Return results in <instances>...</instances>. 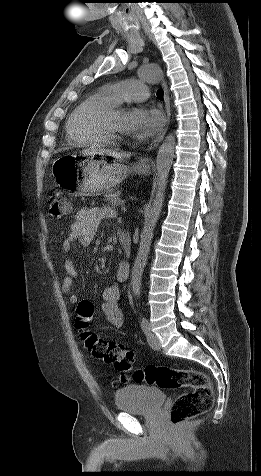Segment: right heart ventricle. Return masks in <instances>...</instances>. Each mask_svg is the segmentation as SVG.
Returning <instances> with one entry per match:
<instances>
[{"label": "right heart ventricle", "mask_w": 261, "mask_h": 476, "mask_svg": "<svg viewBox=\"0 0 261 476\" xmlns=\"http://www.w3.org/2000/svg\"><path fill=\"white\" fill-rule=\"evenodd\" d=\"M117 103L105 90H99L80 102L66 122V133L71 144L89 146L108 143L111 139L98 129L96 118Z\"/></svg>", "instance_id": "obj_1"}]
</instances>
